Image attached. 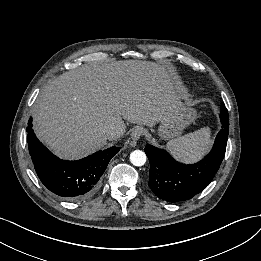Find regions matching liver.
<instances>
[{"instance_id": "liver-1", "label": "liver", "mask_w": 261, "mask_h": 261, "mask_svg": "<svg viewBox=\"0 0 261 261\" xmlns=\"http://www.w3.org/2000/svg\"><path fill=\"white\" fill-rule=\"evenodd\" d=\"M184 98L167 65L139 60L90 63L46 85L34 105V129L56 155L79 159L106 144V127L118 128L122 136L123 119L154 126L180 110Z\"/></svg>"}]
</instances>
